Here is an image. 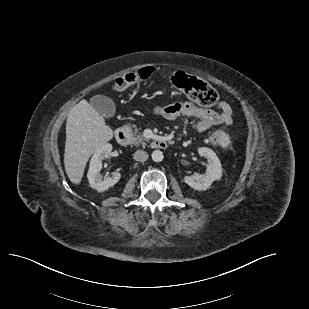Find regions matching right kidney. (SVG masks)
<instances>
[{
  "mask_svg": "<svg viewBox=\"0 0 309 309\" xmlns=\"http://www.w3.org/2000/svg\"><path fill=\"white\" fill-rule=\"evenodd\" d=\"M111 151L112 145L108 143L104 144L94 152L90 160V167L87 177L90 186L98 192H103L108 190L110 187H113L121 178V174L119 172H114L112 176L105 179H103L102 175H100L102 161L109 157Z\"/></svg>",
  "mask_w": 309,
  "mask_h": 309,
  "instance_id": "obj_1",
  "label": "right kidney"
}]
</instances>
